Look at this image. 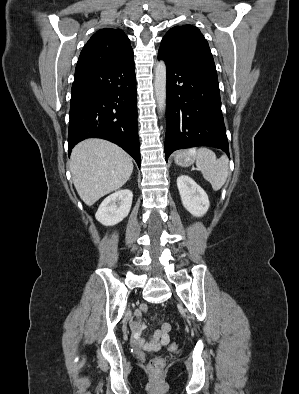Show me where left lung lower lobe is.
I'll return each instance as SVG.
<instances>
[{
    "instance_id": "obj_1",
    "label": "left lung lower lobe",
    "mask_w": 299,
    "mask_h": 394,
    "mask_svg": "<svg viewBox=\"0 0 299 394\" xmlns=\"http://www.w3.org/2000/svg\"><path fill=\"white\" fill-rule=\"evenodd\" d=\"M167 67L165 159L182 148L212 146L229 156L215 64L174 62Z\"/></svg>"
}]
</instances>
